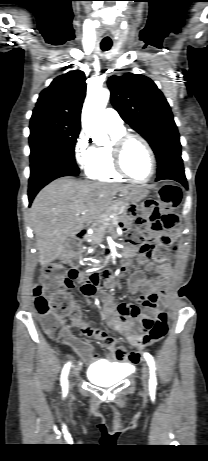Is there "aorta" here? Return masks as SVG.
I'll list each match as a JSON object with an SVG mask.
<instances>
[{"label":"aorta","instance_id":"obj_1","mask_svg":"<svg viewBox=\"0 0 208 461\" xmlns=\"http://www.w3.org/2000/svg\"><path fill=\"white\" fill-rule=\"evenodd\" d=\"M108 89H98L87 94L82 110V128L87 136L99 145L108 142L107 133L103 124V112L109 101Z\"/></svg>","mask_w":208,"mask_h":461}]
</instances>
